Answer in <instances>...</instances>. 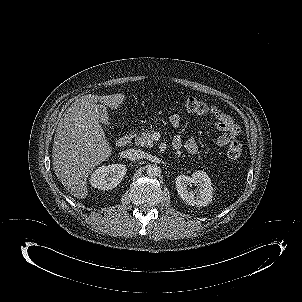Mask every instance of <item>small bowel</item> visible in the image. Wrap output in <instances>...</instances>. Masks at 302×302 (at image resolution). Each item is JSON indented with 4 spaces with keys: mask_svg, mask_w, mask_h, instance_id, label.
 Listing matches in <instances>:
<instances>
[{
    "mask_svg": "<svg viewBox=\"0 0 302 302\" xmlns=\"http://www.w3.org/2000/svg\"><path fill=\"white\" fill-rule=\"evenodd\" d=\"M169 121L174 128H178L180 126L179 115H172ZM214 127L215 130L220 133V135L213 141L216 147H224L228 145L237 134V128L230 122L228 117L224 114L217 116V121L215 122ZM176 142L179 144V147L184 146V148L188 152H194L196 150L195 139L193 136L183 141L182 136L180 134L176 135L174 139V144Z\"/></svg>",
    "mask_w": 302,
    "mask_h": 302,
    "instance_id": "obj_1",
    "label": "small bowel"
}]
</instances>
